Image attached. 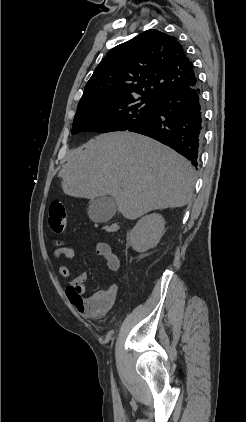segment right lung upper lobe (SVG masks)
I'll return each instance as SVG.
<instances>
[{"label": "right lung upper lobe", "instance_id": "right-lung-upper-lobe-1", "mask_svg": "<svg viewBox=\"0 0 246 422\" xmlns=\"http://www.w3.org/2000/svg\"><path fill=\"white\" fill-rule=\"evenodd\" d=\"M196 83L194 66L177 39L147 30L108 52L87 82L78 107L139 94L140 99L155 101Z\"/></svg>", "mask_w": 246, "mask_h": 422}]
</instances>
